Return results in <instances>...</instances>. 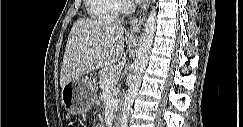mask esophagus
Instances as JSON below:
<instances>
[{"label":"esophagus","mask_w":243,"mask_h":127,"mask_svg":"<svg viewBox=\"0 0 243 127\" xmlns=\"http://www.w3.org/2000/svg\"><path fill=\"white\" fill-rule=\"evenodd\" d=\"M149 5H150V0H145L143 2L138 14L131 21L129 33L133 34L140 31L142 25L144 24Z\"/></svg>","instance_id":"esophagus-1"}]
</instances>
